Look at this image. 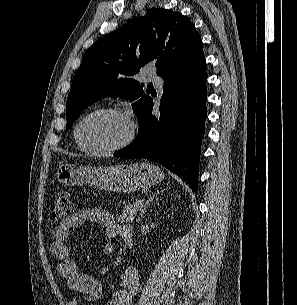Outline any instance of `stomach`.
<instances>
[{
    "label": "stomach",
    "instance_id": "1",
    "mask_svg": "<svg viewBox=\"0 0 297 305\" xmlns=\"http://www.w3.org/2000/svg\"><path fill=\"white\" fill-rule=\"evenodd\" d=\"M56 177L64 186L88 183L106 191L130 193L160 183L164 174L158 166L147 162L105 167H77L60 162L56 169Z\"/></svg>",
    "mask_w": 297,
    "mask_h": 305
}]
</instances>
